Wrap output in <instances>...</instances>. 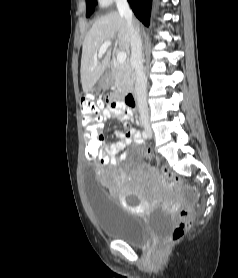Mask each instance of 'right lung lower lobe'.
Masks as SVG:
<instances>
[{
    "label": "right lung lower lobe",
    "instance_id": "right-lung-lower-lobe-1",
    "mask_svg": "<svg viewBox=\"0 0 238 278\" xmlns=\"http://www.w3.org/2000/svg\"><path fill=\"white\" fill-rule=\"evenodd\" d=\"M135 16L145 25L149 26L152 0H128Z\"/></svg>",
    "mask_w": 238,
    "mask_h": 278
}]
</instances>
